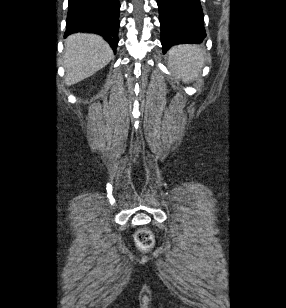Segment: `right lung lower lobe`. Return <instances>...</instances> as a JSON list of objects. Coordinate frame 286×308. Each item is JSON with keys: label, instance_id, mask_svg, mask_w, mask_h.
I'll return each mask as SVG.
<instances>
[{"label": "right lung lower lobe", "instance_id": "right-lung-lower-lobe-1", "mask_svg": "<svg viewBox=\"0 0 286 308\" xmlns=\"http://www.w3.org/2000/svg\"><path fill=\"white\" fill-rule=\"evenodd\" d=\"M119 9L118 0H69L65 37L80 31L92 32L101 35L116 51Z\"/></svg>", "mask_w": 286, "mask_h": 308}]
</instances>
